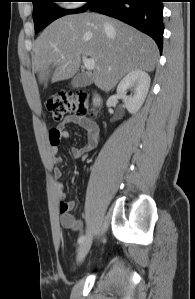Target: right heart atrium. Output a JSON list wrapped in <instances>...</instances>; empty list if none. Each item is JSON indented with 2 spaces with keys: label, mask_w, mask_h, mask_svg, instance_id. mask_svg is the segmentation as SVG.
Wrapping results in <instances>:
<instances>
[{
  "label": "right heart atrium",
  "mask_w": 195,
  "mask_h": 299,
  "mask_svg": "<svg viewBox=\"0 0 195 299\" xmlns=\"http://www.w3.org/2000/svg\"><path fill=\"white\" fill-rule=\"evenodd\" d=\"M72 2H75V3H72V4H71L72 7H75L76 5H78V4L76 3L77 1H72Z\"/></svg>",
  "instance_id": "right-heart-atrium-1"
}]
</instances>
